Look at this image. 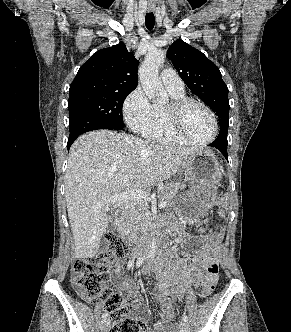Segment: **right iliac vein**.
<instances>
[{
  "mask_svg": "<svg viewBox=\"0 0 291 332\" xmlns=\"http://www.w3.org/2000/svg\"><path fill=\"white\" fill-rule=\"evenodd\" d=\"M108 326H109V320L103 319L100 324L101 332H106L108 330Z\"/></svg>",
  "mask_w": 291,
  "mask_h": 332,
  "instance_id": "right-iliac-vein-1",
  "label": "right iliac vein"
}]
</instances>
